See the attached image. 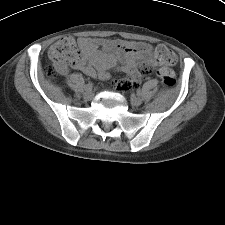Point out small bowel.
I'll return each instance as SVG.
<instances>
[{
    "instance_id": "c3829d8e",
    "label": "small bowel",
    "mask_w": 225,
    "mask_h": 225,
    "mask_svg": "<svg viewBox=\"0 0 225 225\" xmlns=\"http://www.w3.org/2000/svg\"><path fill=\"white\" fill-rule=\"evenodd\" d=\"M78 52L73 65H59L62 73L70 68L81 70L84 74L109 80L112 77V68L118 66L123 73L130 75L135 72L141 57H147L149 63L154 62V52L151 48L137 49L127 43L103 41L97 42L88 38L77 40ZM102 45L103 49H99Z\"/></svg>"
}]
</instances>
